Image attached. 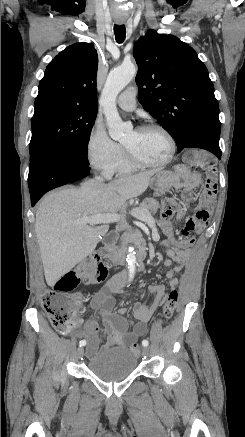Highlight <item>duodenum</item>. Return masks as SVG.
<instances>
[{"label":"duodenum","mask_w":245,"mask_h":437,"mask_svg":"<svg viewBox=\"0 0 245 437\" xmlns=\"http://www.w3.org/2000/svg\"><path fill=\"white\" fill-rule=\"evenodd\" d=\"M117 238L116 232H111L106 237V245L104 248L101 249L100 255L108 260V261H114V262H125L127 260V252L119 251L115 246L114 242ZM146 248L145 246H140L137 248L135 252V257L137 260V270H142L145 268V259H146ZM126 278V274L116 276L115 279L117 281H122Z\"/></svg>","instance_id":"1"}]
</instances>
